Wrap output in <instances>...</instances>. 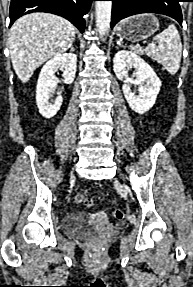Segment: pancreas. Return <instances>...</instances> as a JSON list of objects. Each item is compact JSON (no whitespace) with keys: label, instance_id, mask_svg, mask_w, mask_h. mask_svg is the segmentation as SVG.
<instances>
[{"label":"pancreas","instance_id":"cf45deb5","mask_svg":"<svg viewBox=\"0 0 193 287\" xmlns=\"http://www.w3.org/2000/svg\"><path fill=\"white\" fill-rule=\"evenodd\" d=\"M135 51L139 54H143V50L141 48L135 49Z\"/></svg>","mask_w":193,"mask_h":287}]
</instances>
